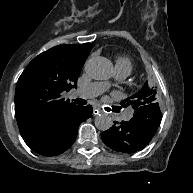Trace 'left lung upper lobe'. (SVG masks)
Masks as SVG:
<instances>
[{
    "label": "left lung upper lobe",
    "instance_id": "5c2ea615",
    "mask_svg": "<svg viewBox=\"0 0 193 193\" xmlns=\"http://www.w3.org/2000/svg\"><path fill=\"white\" fill-rule=\"evenodd\" d=\"M156 102H157L156 91L150 89L147 82L135 95L122 101V103L131 105L134 109H137L141 106L153 104Z\"/></svg>",
    "mask_w": 193,
    "mask_h": 193
}]
</instances>
